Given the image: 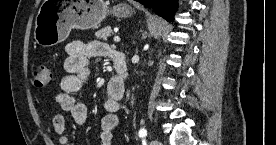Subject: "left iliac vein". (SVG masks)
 <instances>
[{
  "instance_id": "left-iliac-vein-1",
  "label": "left iliac vein",
  "mask_w": 276,
  "mask_h": 145,
  "mask_svg": "<svg viewBox=\"0 0 276 145\" xmlns=\"http://www.w3.org/2000/svg\"><path fill=\"white\" fill-rule=\"evenodd\" d=\"M150 145H161V143L158 140H152Z\"/></svg>"
}]
</instances>
